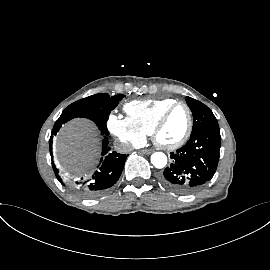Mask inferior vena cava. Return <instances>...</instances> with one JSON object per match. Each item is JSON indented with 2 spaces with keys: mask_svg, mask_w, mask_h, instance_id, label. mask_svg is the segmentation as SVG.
I'll use <instances>...</instances> for the list:
<instances>
[{
  "mask_svg": "<svg viewBox=\"0 0 270 270\" xmlns=\"http://www.w3.org/2000/svg\"><path fill=\"white\" fill-rule=\"evenodd\" d=\"M114 148L119 153H128L131 151V146L129 144L120 141H115Z\"/></svg>",
  "mask_w": 270,
  "mask_h": 270,
  "instance_id": "1",
  "label": "inferior vena cava"
}]
</instances>
